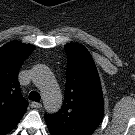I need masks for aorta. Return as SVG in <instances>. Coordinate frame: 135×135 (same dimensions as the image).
<instances>
[{"instance_id": "762f6f07", "label": "aorta", "mask_w": 135, "mask_h": 135, "mask_svg": "<svg viewBox=\"0 0 135 135\" xmlns=\"http://www.w3.org/2000/svg\"><path fill=\"white\" fill-rule=\"evenodd\" d=\"M33 81L42 89L45 110L57 113L62 106V96L53 84V78L49 69L44 65L33 67Z\"/></svg>"}]
</instances>
